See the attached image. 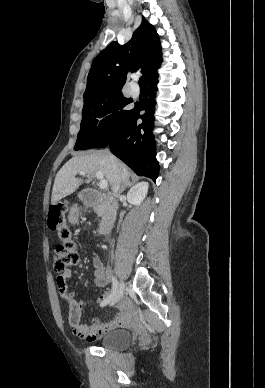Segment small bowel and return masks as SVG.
<instances>
[{"mask_svg": "<svg viewBox=\"0 0 265 388\" xmlns=\"http://www.w3.org/2000/svg\"><path fill=\"white\" fill-rule=\"evenodd\" d=\"M93 263V287L103 288L108 284V278L106 275L105 267L97 253H93L92 256ZM72 272L70 269H66L61 273V283L58 285L60 295L64 299L67 308L68 322L72 328L73 333L78 336L80 339L87 341H93L99 336L116 327L128 326L131 324L132 317L129 311L128 302L125 300L118 301L116 308L117 313L114 317L107 321H99L93 319L91 324H85L81 322V315L84 303L75 298V293L69 291L67 281L71 277ZM111 293L109 290H106L101 298L91 304L102 305L110 299ZM109 303V302H108ZM59 325H63V320L61 319Z\"/></svg>", "mask_w": 265, "mask_h": 388, "instance_id": "obj_1", "label": "small bowel"}]
</instances>
